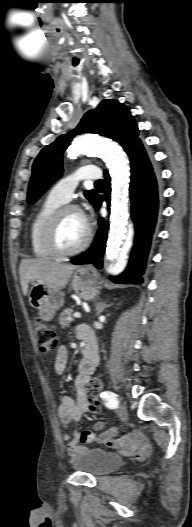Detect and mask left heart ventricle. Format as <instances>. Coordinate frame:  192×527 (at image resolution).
Returning a JSON list of instances; mask_svg holds the SVG:
<instances>
[{
    "mask_svg": "<svg viewBox=\"0 0 192 527\" xmlns=\"http://www.w3.org/2000/svg\"><path fill=\"white\" fill-rule=\"evenodd\" d=\"M87 225L81 214L76 212L66 213L59 224L57 242L63 249H72L84 239Z\"/></svg>",
    "mask_w": 192,
    "mask_h": 527,
    "instance_id": "1",
    "label": "left heart ventricle"
}]
</instances>
